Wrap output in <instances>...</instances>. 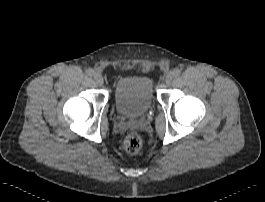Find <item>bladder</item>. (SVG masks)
Listing matches in <instances>:
<instances>
[{"instance_id": "31cf9c89", "label": "bladder", "mask_w": 265, "mask_h": 202, "mask_svg": "<svg viewBox=\"0 0 265 202\" xmlns=\"http://www.w3.org/2000/svg\"><path fill=\"white\" fill-rule=\"evenodd\" d=\"M113 101L123 117H136L149 110L155 101L154 84L146 76H130L117 81Z\"/></svg>"}]
</instances>
